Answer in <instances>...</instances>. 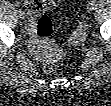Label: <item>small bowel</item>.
<instances>
[{"mask_svg":"<svg viewBox=\"0 0 111 106\" xmlns=\"http://www.w3.org/2000/svg\"><path fill=\"white\" fill-rule=\"evenodd\" d=\"M60 1L58 0H33V1H26L25 4L29 11L33 14L36 15L42 11H49L53 10L57 5L59 4ZM30 33L34 32V27L31 24L29 27Z\"/></svg>","mask_w":111,"mask_h":106,"instance_id":"1","label":"small bowel"}]
</instances>
